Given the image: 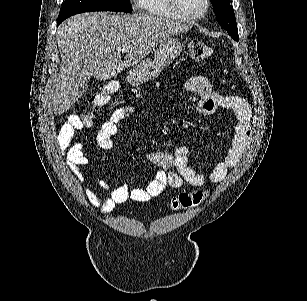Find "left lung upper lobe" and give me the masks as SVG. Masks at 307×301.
Returning <instances> with one entry per match:
<instances>
[{
	"label": "left lung upper lobe",
	"mask_w": 307,
	"mask_h": 301,
	"mask_svg": "<svg viewBox=\"0 0 307 301\" xmlns=\"http://www.w3.org/2000/svg\"><path fill=\"white\" fill-rule=\"evenodd\" d=\"M218 23L226 29L228 34L238 41V29L234 11L229 0H210Z\"/></svg>",
	"instance_id": "1"
}]
</instances>
